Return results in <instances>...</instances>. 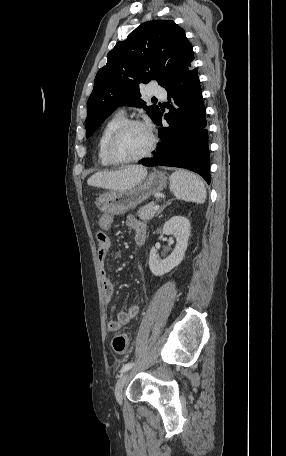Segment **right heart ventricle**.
<instances>
[{"label":"right heart ventricle","instance_id":"e07e8e85","mask_svg":"<svg viewBox=\"0 0 286 456\" xmlns=\"http://www.w3.org/2000/svg\"><path fill=\"white\" fill-rule=\"evenodd\" d=\"M124 120H125V118H124L123 113L117 112V113L113 114L107 120V122L105 123V125L103 126V128L101 130V133L98 138V143H97V157H98V161L100 162V164H102L104 166L115 165V163L112 162L107 155L106 146H107L108 139H109L110 135L112 134V132Z\"/></svg>","mask_w":286,"mask_h":456}]
</instances>
